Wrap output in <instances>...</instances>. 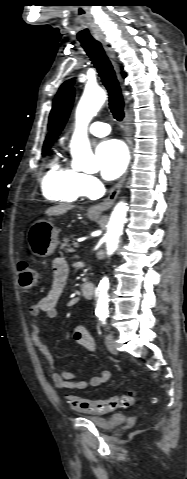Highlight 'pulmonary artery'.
I'll return each mask as SVG.
<instances>
[{
	"instance_id": "1",
	"label": "pulmonary artery",
	"mask_w": 187,
	"mask_h": 479,
	"mask_svg": "<svg viewBox=\"0 0 187 479\" xmlns=\"http://www.w3.org/2000/svg\"><path fill=\"white\" fill-rule=\"evenodd\" d=\"M111 130V127L109 124L107 123H104V122H93L90 126H89V132L95 136H105L107 134H109Z\"/></svg>"
}]
</instances>
